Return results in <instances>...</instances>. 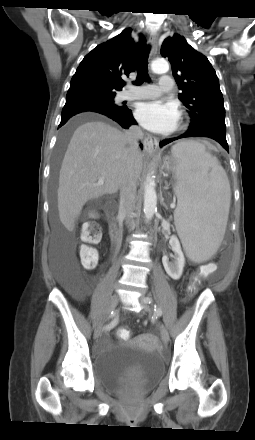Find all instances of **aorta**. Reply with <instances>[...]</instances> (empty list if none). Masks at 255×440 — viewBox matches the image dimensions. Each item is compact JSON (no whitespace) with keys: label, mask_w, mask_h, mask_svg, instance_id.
I'll return each instance as SVG.
<instances>
[{"label":"aorta","mask_w":255,"mask_h":440,"mask_svg":"<svg viewBox=\"0 0 255 440\" xmlns=\"http://www.w3.org/2000/svg\"><path fill=\"white\" fill-rule=\"evenodd\" d=\"M151 69L156 74L166 73L169 64L163 59H156L151 64ZM157 209V195L151 178H148L144 188V214L147 220H151Z\"/></svg>","instance_id":"1"}]
</instances>
